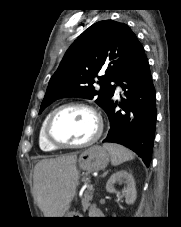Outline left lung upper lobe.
Instances as JSON below:
<instances>
[{"label":"left lung upper lobe","instance_id":"1","mask_svg":"<svg viewBox=\"0 0 181 227\" xmlns=\"http://www.w3.org/2000/svg\"><path fill=\"white\" fill-rule=\"evenodd\" d=\"M140 42L124 23L113 20L97 22L86 29L66 51L49 81L41 113L62 97L93 99L105 111L113 102L115 85ZM98 73L100 90L93 84Z\"/></svg>","mask_w":181,"mask_h":227}]
</instances>
